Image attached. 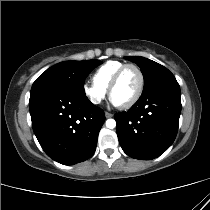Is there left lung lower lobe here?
Returning a JSON list of instances; mask_svg holds the SVG:
<instances>
[{
	"mask_svg": "<svg viewBox=\"0 0 210 210\" xmlns=\"http://www.w3.org/2000/svg\"><path fill=\"white\" fill-rule=\"evenodd\" d=\"M181 112V91L176 80L143 93L127 112L115 114L123 151L132 158L154 159L174 142Z\"/></svg>",
	"mask_w": 210,
	"mask_h": 210,
	"instance_id": "obj_1",
	"label": "left lung lower lobe"
}]
</instances>
